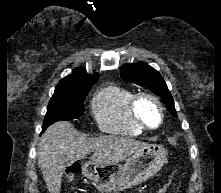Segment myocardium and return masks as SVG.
<instances>
[{
	"instance_id": "f54148a6",
	"label": "myocardium",
	"mask_w": 221,
	"mask_h": 193,
	"mask_svg": "<svg viewBox=\"0 0 221 193\" xmlns=\"http://www.w3.org/2000/svg\"><path fill=\"white\" fill-rule=\"evenodd\" d=\"M145 100L152 101L158 108L160 119L156 126H151L147 122H145L139 113V106ZM130 110H131V114H132L134 121L143 129H146V130L158 129L162 126L164 122V118H165L164 106L161 100L153 93L141 92V93L134 95L133 99L131 100Z\"/></svg>"
}]
</instances>
